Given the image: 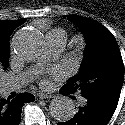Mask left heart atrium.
Masks as SVG:
<instances>
[{
    "mask_svg": "<svg viewBox=\"0 0 125 125\" xmlns=\"http://www.w3.org/2000/svg\"><path fill=\"white\" fill-rule=\"evenodd\" d=\"M43 84H46V81H45V80L43 81Z\"/></svg>",
    "mask_w": 125,
    "mask_h": 125,
    "instance_id": "obj_1",
    "label": "left heart atrium"
}]
</instances>
